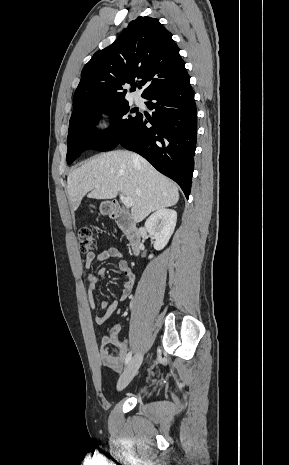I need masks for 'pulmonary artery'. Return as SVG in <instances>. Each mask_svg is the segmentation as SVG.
<instances>
[{"label":"pulmonary artery","instance_id":"pulmonary-artery-1","mask_svg":"<svg viewBox=\"0 0 289 465\" xmlns=\"http://www.w3.org/2000/svg\"><path fill=\"white\" fill-rule=\"evenodd\" d=\"M134 100H135L136 103H140V102H141V98H140L138 95H136V96L134 97Z\"/></svg>","mask_w":289,"mask_h":465}]
</instances>
